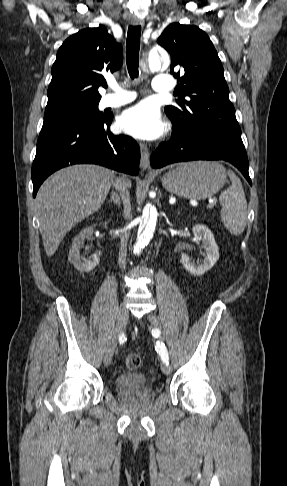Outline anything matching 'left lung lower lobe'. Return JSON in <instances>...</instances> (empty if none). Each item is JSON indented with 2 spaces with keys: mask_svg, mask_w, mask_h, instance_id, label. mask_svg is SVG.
<instances>
[{
  "mask_svg": "<svg viewBox=\"0 0 287 486\" xmlns=\"http://www.w3.org/2000/svg\"><path fill=\"white\" fill-rule=\"evenodd\" d=\"M224 160L237 167L252 185L248 158L241 137L217 130L186 129L173 124L171 140L161 143L151 154L150 165L157 169L175 162Z\"/></svg>",
  "mask_w": 287,
  "mask_h": 486,
  "instance_id": "obj_1",
  "label": "left lung lower lobe"
}]
</instances>
